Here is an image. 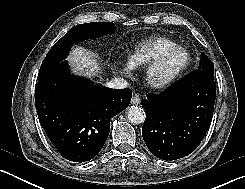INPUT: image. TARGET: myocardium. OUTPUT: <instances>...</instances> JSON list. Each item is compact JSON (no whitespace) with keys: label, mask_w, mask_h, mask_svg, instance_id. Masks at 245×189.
<instances>
[{"label":"myocardium","mask_w":245,"mask_h":189,"mask_svg":"<svg viewBox=\"0 0 245 189\" xmlns=\"http://www.w3.org/2000/svg\"><path fill=\"white\" fill-rule=\"evenodd\" d=\"M177 51H184L186 53V60L175 70L161 74L169 56ZM191 61L192 55L187 47L182 45L169 47L148 66L145 73L146 82L150 87L155 89L167 87L175 82L189 68Z\"/></svg>","instance_id":"1"}]
</instances>
